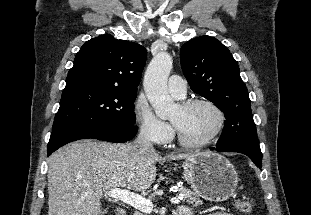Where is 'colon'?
<instances>
[{"mask_svg": "<svg viewBox=\"0 0 311 215\" xmlns=\"http://www.w3.org/2000/svg\"><path fill=\"white\" fill-rule=\"evenodd\" d=\"M235 208L240 215H253L254 203L250 199H239L235 202Z\"/></svg>", "mask_w": 311, "mask_h": 215, "instance_id": "1", "label": "colon"}]
</instances>
